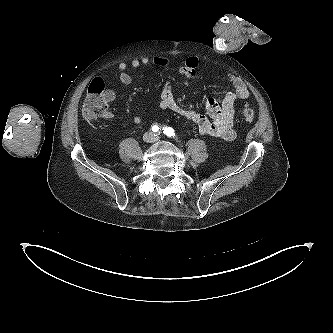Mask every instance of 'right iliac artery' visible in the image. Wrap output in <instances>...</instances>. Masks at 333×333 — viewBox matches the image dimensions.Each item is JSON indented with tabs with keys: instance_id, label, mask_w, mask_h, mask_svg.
<instances>
[{
	"instance_id": "82829eb1",
	"label": "right iliac artery",
	"mask_w": 333,
	"mask_h": 333,
	"mask_svg": "<svg viewBox=\"0 0 333 333\" xmlns=\"http://www.w3.org/2000/svg\"><path fill=\"white\" fill-rule=\"evenodd\" d=\"M151 129L153 132L157 133L160 130V127L158 125H154V126H152Z\"/></svg>"
}]
</instances>
